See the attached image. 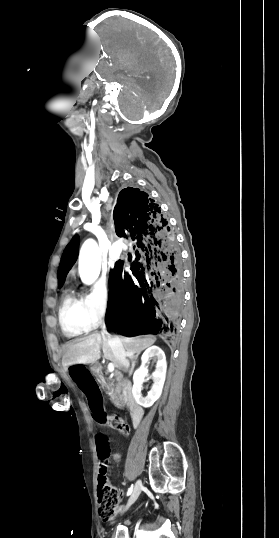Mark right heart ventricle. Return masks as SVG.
Masks as SVG:
<instances>
[{"label": "right heart ventricle", "mask_w": 279, "mask_h": 538, "mask_svg": "<svg viewBox=\"0 0 279 538\" xmlns=\"http://www.w3.org/2000/svg\"><path fill=\"white\" fill-rule=\"evenodd\" d=\"M53 222L56 226H60L61 224L58 211H56L53 217ZM85 229L90 231L93 229V226H88ZM66 232L67 229L62 233V236ZM59 322L63 333L68 337L77 336L89 331L90 327L85 314V297L77 296L71 289L68 290L59 307Z\"/></svg>", "instance_id": "e07e8e85"}]
</instances>
